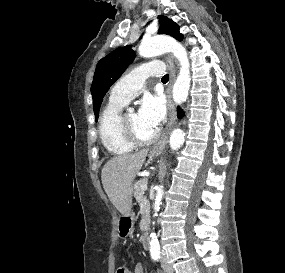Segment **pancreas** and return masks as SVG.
<instances>
[{
  "instance_id": "cf45deb5",
  "label": "pancreas",
  "mask_w": 285,
  "mask_h": 273,
  "mask_svg": "<svg viewBox=\"0 0 285 273\" xmlns=\"http://www.w3.org/2000/svg\"><path fill=\"white\" fill-rule=\"evenodd\" d=\"M146 183L145 180L141 179L135 182L134 188V197L139 203H145L146 212L149 210V202L146 200L144 196V191L141 189V186Z\"/></svg>"
}]
</instances>
